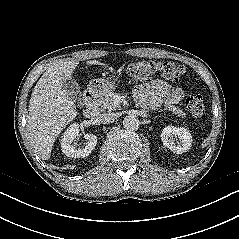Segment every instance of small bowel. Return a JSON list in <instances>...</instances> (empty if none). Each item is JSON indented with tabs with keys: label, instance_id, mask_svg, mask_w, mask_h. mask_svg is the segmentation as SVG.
<instances>
[{
	"label": "small bowel",
	"instance_id": "c3829d8e",
	"mask_svg": "<svg viewBox=\"0 0 239 239\" xmlns=\"http://www.w3.org/2000/svg\"><path fill=\"white\" fill-rule=\"evenodd\" d=\"M134 94L142 105L153 108L176 103L183 97V91L180 88H174L163 80L141 83L136 86Z\"/></svg>",
	"mask_w": 239,
	"mask_h": 239
}]
</instances>
